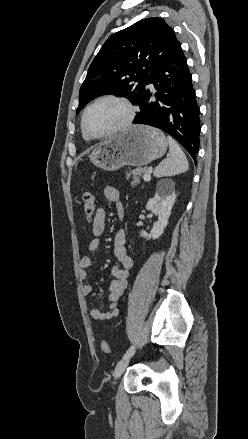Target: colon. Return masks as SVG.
Here are the masks:
<instances>
[{"mask_svg":"<svg viewBox=\"0 0 248 439\" xmlns=\"http://www.w3.org/2000/svg\"><path fill=\"white\" fill-rule=\"evenodd\" d=\"M82 199L85 216L88 220H92L95 213V196L93 192L90 190H86L83 193ZM100 349L106 355H111V348L106 341L102 340L100 342Z\"/></svg>","mask_w":248,"mask_h":439,"instance_id":"1","label":"colon"}]
</instances>
